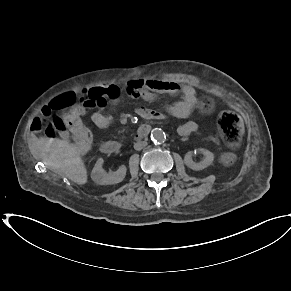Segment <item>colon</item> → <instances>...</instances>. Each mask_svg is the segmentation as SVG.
I'll use <instances>...</instances> for the list:
<instances>
[{
  "label": "colon",
  "instance_id": "5ec220e1",
  "mask_svg": "<svg viewBox=\"0 0 291 291\" xmlns=\"http://www.w3.org/2000/svg\"><path fill=\"white\" fill-rule=\"evenodd\" d=\"M80 98L72 91H67L56 96L50 102L43 103V113L34 119L33 126L44 129L45 135L53 138L57 133L68 132L72 136L73 145L79 151L87 150L92 144V134L82 123ZM69 112L63 117H55L48 120L53 111ZM218 128L229 145H237L243 135V123L239 116L231 111H223L218 116ZM225 164H232L236 160L233 152H225L221 156Z\"/></svg>",
  "mask_w": 291,
  "mask_h": 291
}]
</instances>
